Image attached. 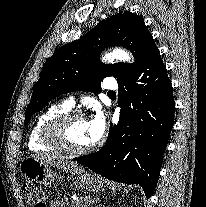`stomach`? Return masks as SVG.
Here are the masks:
<instances>
[{
  "instance_id": "0dacf381",
  "label": "stomach",
  "mask_w": 206,
  "mask_h": 207,
  "mask_svg": "<svg viewBox=\"0 0 206 207\" xmlns=\"http://www.w3.org/2000/svg\"><path fill=\"white\" fill-rule=\"evenodd\" d=\"M19 171L24 178L45 186L51 185L56 177V170L52 165L32 157L24 158L21 161ZM75 184L91 192H97L104 188V181L102 179L94 174L84 172L78 174Z\"/></svg>"
}]
</instances>
